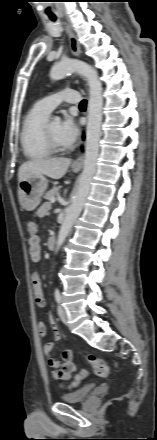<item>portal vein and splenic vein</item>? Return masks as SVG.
Wrapping results in <instances>:
<instances>
[{"label":"portal vein and splenic vein","mask_w":157,"mask_h":440,"mask_svg":"<svg viewBox=\"0 0 157 440\" xmlns=\"http://www.w3.org/2000/svg\"><path fill=\"white\" fill-rule=\"evenodd\" d=\"M55 201H56V199L54 197L50 199L51 203H55Z\"/></svg>","instance_id":"1"}]
</instances>
